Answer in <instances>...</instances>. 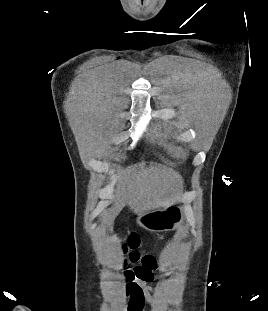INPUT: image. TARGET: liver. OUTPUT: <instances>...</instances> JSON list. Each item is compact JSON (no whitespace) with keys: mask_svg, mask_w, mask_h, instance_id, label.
<instances>
[{"mask_svg":"<svg viewBox=\"0 0 268 311\" xmlns=\"http://www.w3.org/2000/svg\"><path fill=\"white\" fill-rule=\"evenodd\" d=\"M181 183L179 174L154 166L141 172L128 170L119 180L112 197L109 225L126 204L138 215L172 204L175 187H179Z\"/></svg>","mask_w":268,"mask_h":311,"instance_id":"obj_1","label":"liver"}]
</instances>
